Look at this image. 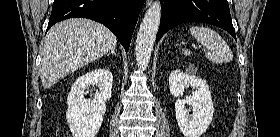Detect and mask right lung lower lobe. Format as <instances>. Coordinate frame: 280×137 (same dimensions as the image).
<instances>
[{
    "label": "right lung lower lobe",
    "instance_id": "98d812e1",
    "mask_svg": "<svg viewBox=\"0 0 280 137\" xmlns=\"http://www.w3.org/2000/svg\"><path fill=\"white\" fill-rule=\"evenodd\" d=\"M145 0H55L48 28L68 18H88L108 27L127 52Z\"/></svg>",
    "mask_w": 280,
    "mask_h": 137
}]
</instances>
